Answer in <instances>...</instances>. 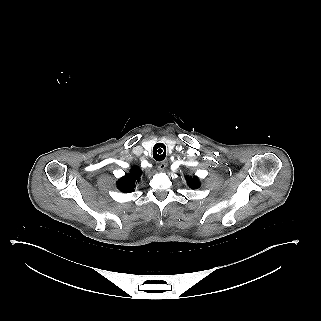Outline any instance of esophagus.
Wrapping results in <instances>:
<instances>
[{"label":"esophagus","mask_w":321,"mask_h":321,"mask_svg":"<svg viewBox=\"0 0 321 321\" xmlns=\"http://www.w3.org/2000/svg\"><path fill=\"white\" fill-rule=\"evenodd\" d=\"M167 164H168L167 161H164V162L160 163L159 166H158V170L159 171H164L165 168L167 167Z\"/></svg>","instance_id":"esophagus-1"}]
</instances>
